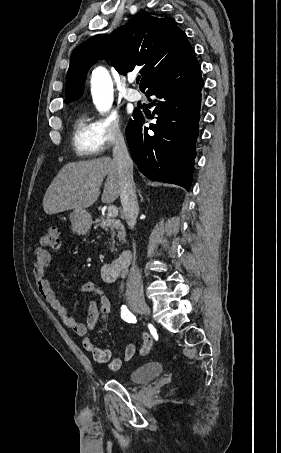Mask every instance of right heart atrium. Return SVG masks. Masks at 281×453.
I'll return each instance as SVG.
<instances>
[{
    "mask_svg": "<svg viewBox=\"0 0 281 453\" xmlns=\"http://www.w3.org/2000/svg\"><path fill=\"white\" fill-rule=\"evenodd\" d=\"M91 90L95 99H104L109 95L108 85L99 79H91ZM99 136L106 148L120 145L125 138L124 127L119 118L113 114H107L96 120ZM107 170L111 175H116L119 168L114 162L107 161Z\"/></svg>",
    "mask_w": 281,
    "mask_h": 453,
    "instance_id": "obj_1",
    "label": "right heart atrium"
}]
</instances>
